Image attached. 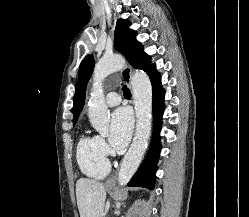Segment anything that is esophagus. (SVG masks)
<instances>
[{
	"instance_id": "34e87169",
	"label": "esophagus",
	"mask_w": 249,
	"mask_h": 217,
	"mask_svg": "<svg viewBox=\"0 0 249 217\" xmlns=\"http://www.w3.org/2000/svg\"><path fill=\"white\" fill-rule=\"evenodd\" d=\"M121 75L124 78L125 81H127L130 86H131V79H132V69L129 66H125L122 70H121ZM117 177L116 175H113L112 177H110L107 181L106 184L109 186H112L116 183Z\"/></svg>"
}]
</instances>
